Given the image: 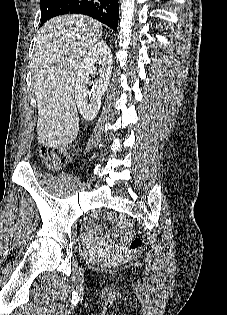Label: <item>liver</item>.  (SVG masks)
<instances>
[{
	"label": "liver",
	"mask_w": 227,
	"mask_h": 315,
	"mask_svg": "<svg viewBox=\"0 0 227 315\" xmlns=\"http://www.w3.org/2000/svg\"><path fill=\"white\" fill-rule=\"evenodd\" d=\"M102 24L84 15H63L40 29L32 57L40 144L56 148L77 137L76 75L88 50L100 39Z\"/></svg>",
	"instance_id": "liver-1"
}]
</instances>
